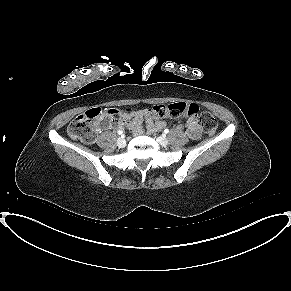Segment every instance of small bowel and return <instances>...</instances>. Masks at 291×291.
<instances>
[{"label": "small bowel", "instance_id": "small-bowel-1", "mask_svg": "<svg viewBox=\"0 0 291 291\" xmlns=\"http://www.w3.org/2000/svg\"><path fill=\"white\" fill-rule=\"evenodd\" d=\"M188 116V115H187ZM150 110H140V111H122L118 118L111 119L105 124V127L117 128L122 126H127L135 136H139L142 133L141 123L143 120L147 122L148 133H154L155 131L165 127V121L160 118L156 122L151 119ZM186 133L187 136L196 140L201 135V129L199 121L196 115L188 116L186 121Z\"/></svg>", "mask_w": 291, "mask_h": 291}]
</instances>
